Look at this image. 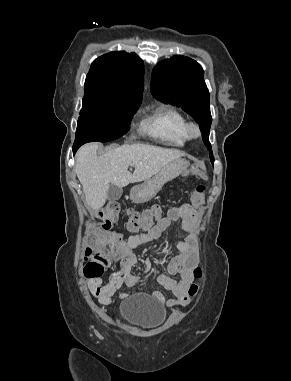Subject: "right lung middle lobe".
I'll list each match as a JSON object with an SVG mask.
<instances>
[{
	"instance_id": "obj_1",
	"label": "right lung middle lobe",
	"mask_w": 291,
	"mask_h": 381,
	"mask_svg": "<svg viewBox=\"0 0 291 381\" xmlns=\"http://www.w3.org/2000/svg\"><path fill=\"white\" fill-rule=\"evenodd\" d=\"M140 103L86 94L80 111L74 144L107 142L124 135Z\"/></svg>"
}]
</instances>
